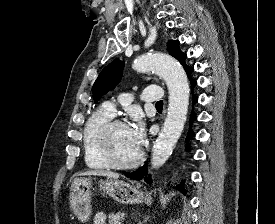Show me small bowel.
Returning a JSON list of instances; mask_svg holds the SVG:
<instances>
[{
    "mask_svg": "<svg viewBox=\"0 0 275 224\" xmlns=\"http://www.w3.org/2000/svg\"><path fill=\"white\" fill-rule=\"evenodd\" d=\"M94 224H106V215L103 212H99L95 215Z\"/></svg>",
    "mask_w": 275,
    "mask_h": 224,
    "instance_id": "1",
    "label": "small bowel"
}]
</instances>
